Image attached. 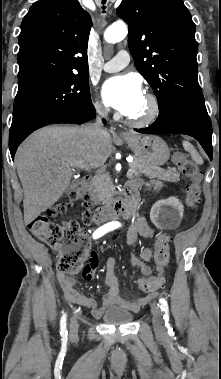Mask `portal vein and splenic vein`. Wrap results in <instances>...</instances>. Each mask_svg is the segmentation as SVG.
Returning <instances> with one entry per match:
<instances>
[{
	"instance_id": "18ae733b",
	"label": "portal vein and splenic vein",
	"mask_w": 221,
	"mask_h": 379,
	"mask_svg": "<svg viewBox=\"0 0 221 379\" xmlns=\"http://www.w3.org/2000/svg\"><path fill=\"white\" fill-rule=\"evenodd\" d=\"M128 162L132 163V160H128ZM76 166L81 168V169H85L87 171H90V166H88L87 164H85L83 162H79ZM128 174L129 175L133 174V171L131 169H129Z\"/></svg>"
}]
</instances>
